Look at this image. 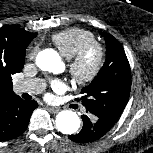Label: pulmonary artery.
<instances>
[{
	"instance_id": "obj_1",
	"label": "pulmonary artery",
	"mask_w": 153,
	"mask_h": 153,
	"mask_svg": "<svg viewBox=\"0 0 153 153\" xmlns=\"http://www.w3.org/2000/svg\"><path fill=\"white\" fill-rule=\"evenodd\" d=\"M43 83L39 79H24L17 82L14 89L17 93L37 94L43 90Z\"/></svg>"
}]
</instances>
